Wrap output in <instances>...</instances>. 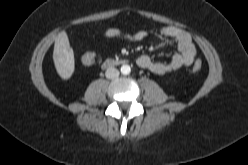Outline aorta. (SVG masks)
Masks as SVG:
<instances>
[{"label":"aorta","mask_w":248,"mask_h":165,"mask_svg":"<svg viewBox=\"0 0 248 165\" xmlns=\"http://www.w3.org/2000/svg\"><path fill=\"white\" fill-rule=\"evenodd\" d=\"M131 72V68L129 65H122L121 66V73L123 75H128Z\"/></svg>","instance_id":"obj_1"}]
</instances>
